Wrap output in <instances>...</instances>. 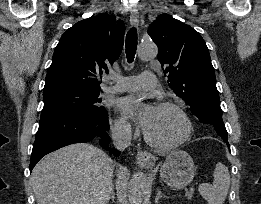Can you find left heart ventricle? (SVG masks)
<instances>
[{
	"mask_svg": "<svg viewBox=\"0 0 261 204\" xmlns=\"http://www.w3.org/2000/svg\"><path fill=\"white\" fill-rule=\"evenodd\" d=\"M145 130L154 140L160 143H171L182 137L185 126L175 110L153 107Z\"/></svg>",
	"mask_w": 261,
	"mask_h": 204,
	"instance_id": "left-heart-ventricle-1",
	"label": "left heart ventricle"
}]
</instances>
